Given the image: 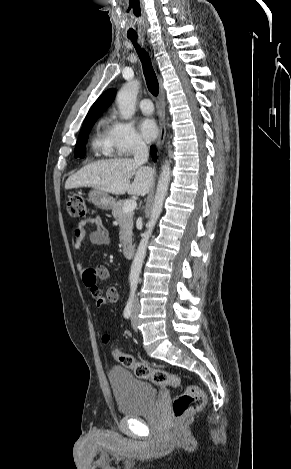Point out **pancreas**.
<instances>
[{"label":"pancreas","instance_id":"1","mask_svg":"<svg viewBox=\"0 0 291 469\" xmlns=\"http://www.w3.org/2000/svg\"><path fill=\"white\" fill-rule=\"evenodd\" d=\"M125 200H119L112 208V214L118 221L120 226L119 238L122 245H127L132 242V229H133V211L123 212Z\"/></svg>","mask_w":291,"mask_h":469}]
</instances>
